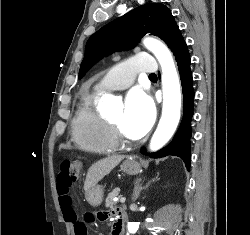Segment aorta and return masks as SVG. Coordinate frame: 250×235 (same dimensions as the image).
<instances>
[{"instance_id":"obj_1","label":"aorta","mask_w":250,"mask_h":235,"mask_svg":"<svg viewBox=\"0 0 250 235\" xmlns=\"http://www.w3.org/2000/svg\"><path fill=\"white\" fill-rule=\"evenodd\" d=\"M143 43L155 55L162 68V116L150 141L151 151H157L170 140L179 123L181 109L180 82L171 52L167 46L153 38H145ZM108 101L114 103L115 99L108 97ZM138 228L139 222H128L127 230L129 234H135Z\"/></svg>"}]
</instances>
